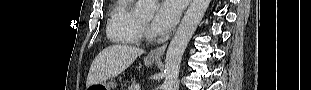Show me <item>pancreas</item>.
<instances>
[{"label": "pancreas", "mask_w": 311, "mask_h": 90, "mask_svg": "<svg viewBox=\"0 0 311 90\" xmlns=\"http://www.w3.org/2000/svg\"><path fill=\"white\" fill-rule=\"evenodd\" d=\"M128 90H139V84L132 81L131 85L128 87Z\"/></svg>", "instance_id": "pancreas-1"}]
</instances>
